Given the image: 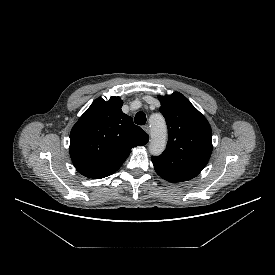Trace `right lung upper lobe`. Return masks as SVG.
<instances>
[{
    "label": "right lung upper lobe",
    "instance_id": "right-lung-upper-lobe-1",
    "mask_svg": "<svg viewBox=\"0 0 275 275\" xmlns=\"http://www.w3.org/2000/svg\"><path fill=\"white\" fill-rule=\"evenodd\" d=\"M122 104L119 97L98 98L73 126L70 157L82 175L107 177L121 167L133 147L148 142L149 135L122 112Z\"/></svg>",
    "mask_w": 275,
    "mask_h": 275
}]
</instances>
